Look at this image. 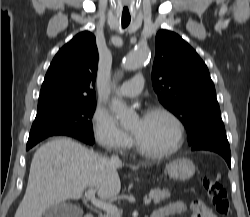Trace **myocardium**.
Listing matches in <instances>:
<instances>
[{
	"label": "myocardium",
	"mask_w": 250,
	"mask_h": 217,
	"mask_svg": "<svg viewBox=\"0 0 250 217\" xmlns=\"http://www.w3.org/2000/svg\"><path fill=\"white\" fill-rule=\"evenodd\" d=\"M152 114L163 115L171 121L175 129L174 143L172 144V146H170L169 148L163 151H151L141 146L136 140V138L134 137L136 149L140 154L150 157V158H164V157L171 156L180 149V147L182 146L184 142V135H185L184 125L181 122V120L171 110H169L168 108L164 106L156 105V106L150 107L147 110L146 115H152Z\"/></svg>",
	"instance_id": "1"
}]
</instances>
